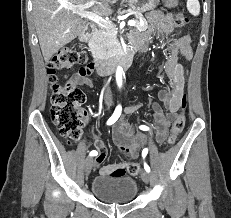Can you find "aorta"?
<instances>
[{
	"label": "aorta",
	"instance_id": "aorta-1",
	"mask_svg": "<svg viewBox=\"0 0 231 218\" xmlns=\"http://www.w3.org/2000/svg\"><path fill=\"white\" fill-rule=\"evenodd\" d=\"M116 81H117V85L121 87L122 86V68L120 66H118L116 70Z\"/></svg>",
	"mask_w": 231,
	"mask_h": 218
}]
</instances>
